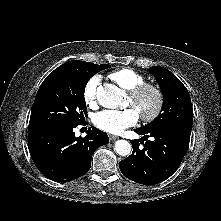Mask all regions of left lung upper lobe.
Segmentation results:
<instances>
[{"instance_id": "1", "label": "left lung upper lobe", "mask_w": 221, "mask_h": 221, "mask_svg": "<svg viewBox=\"0 0 221 221\" xmlns=\"http://www.w3.org/2000/svg\"><path fill=\"white\" fill-rule=\"evenodd\" d=\"M149 71L155 76L163 92L161 114L151 123L139 128L144 131L177 130L191 133L193 109L188 90L169 70L155 66Z\"/></svg>"}]
</instances>
